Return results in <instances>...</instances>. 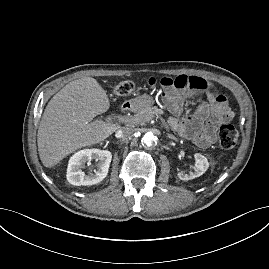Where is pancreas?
<instances>
[{
  "instance_id": "cf45deb5",
  "label": "pancreas",
  "mask_w": 269,
  "mask_h": 269,
  "mask_svg": "<svg viewBox=\"0 0 269 269\" xmlns=\"http://www.w3.org/2000/svg\"><path fill=\"white\" fill-rule=\"evenodd\" d=\"M163 113V110L158 109L157 107H145L131 117L132 121L129 122V125H143L153 117H159Z\"/></svg>"
}]
</instances>
